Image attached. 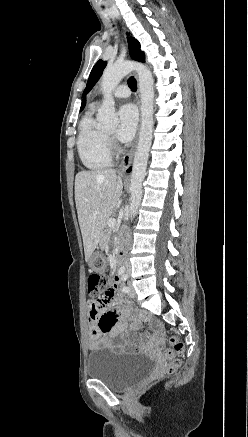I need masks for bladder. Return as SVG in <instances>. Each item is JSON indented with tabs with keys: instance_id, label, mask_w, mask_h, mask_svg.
Wrapping results in <instances>:
<instances>
[{
	"instance_id": "1",
	"label": "bladder",
	"mask_w": 248,
	"mask_h": 437,
	"mask_svg": "<svg viewBox=\"0 0 248 437\" xmlns=\"http://www.w3.org/2000/svg\"><path fill=\"white\" fill-rule=\"evenodd\" d=\"M156 366L153 359L143 354L101 349L91 355L87 374L90 379L102 381L113 389L124 390L150 377Z\"/></svg>"
}]
</instances>
